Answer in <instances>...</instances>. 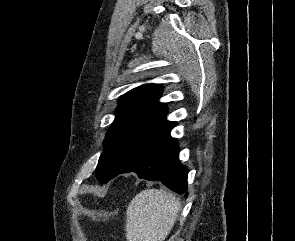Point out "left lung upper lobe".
Listing matches in <instances>:
<instances>
[{
  "mask_svg": "<svg viewBox=\"0 0 295 241\" xmlns=\"http://www.w3.org/2000/svg\"><path fill=\"white\" fill-rule=\"evenodd\" d=\"M162 89L158 84H146L120 98L95 171L101 183L112 179L128 162L173 128L174 123L165 119L167 106L158 101Z\"/></svg>",
  "mask_w": 295,
  "mask_h": 241,
  "instance_id": "1",
  "label": "left lung upper lobe"
}]
</instances>
